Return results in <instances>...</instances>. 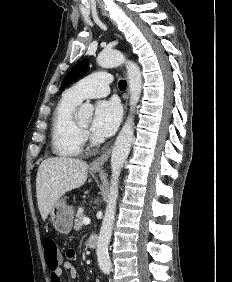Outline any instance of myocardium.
I'll use <instances>...</instances> for the list:
<instances>
[{
	"label": "myocardium",
	"mask_w": 232,
	"mask_h": 282,
	"mask_svg": "<svg viewBox=\"0 0 232 282\" xmlns=\"http://www.w3.org/2000/svg\"><path fill=\"white\" fill-rule=\"evenodd\" d=\"M74 122L76 125V128L78 129L79 133L83 138H86L88 136V129L87 127L82 126L77 119L74 118Z\"/></svg>",
	"instance_id": "myocardium-1"
}]
</instances>
